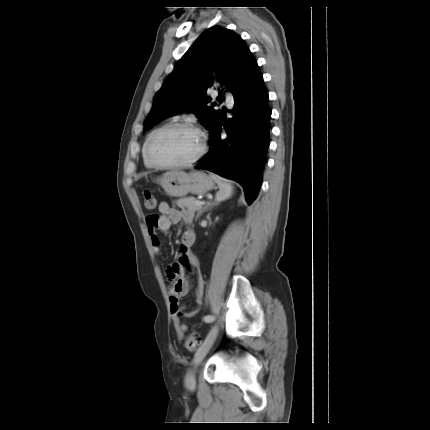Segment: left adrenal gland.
Wrapping results in <instances>:
<instances>
[{
  "mask_svg": "<svg viewBox=\"0 0 430 430\" xmlns=\"http://www.w3.org/2000/svg\"><path fill=\"white\" fill-rule=\"evenodd\" d=\"M219 205V203L218 202H211V203H208L202 210H200L199 212H198V214H197V216H196V219H198L199 218V216L203 213V212H205L206 210H211L214 206H218Z\"/></svg>",
  "mask_w": 430,
  "mask_h": 430,
  "instance_id": "obj_1",
  "label": "left adrenal gland"
}]
</instances>
